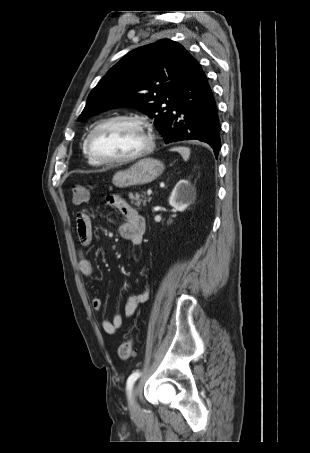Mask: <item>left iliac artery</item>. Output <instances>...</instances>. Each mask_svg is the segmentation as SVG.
<instances>
[{
  "instance_id": "44dca946",
  "label": "left iliac artery",
  "mask_w": 310,
  "mask_h": 453,
  "mask_svg": "<svg viewBox=\"0 0 310 453\" xmlns=\"http://www.w3.org/2000/svg\"><path fill=\"white\" fill-rule=\"evenodd\" d=\"M140 376V372L139 371H136V372H133L127 379V386H126V389H127V392L128 394L130 395L131 393V390L133 388V385L135 383V381L139 378Z\"/></svg>"
}]
</instances>
